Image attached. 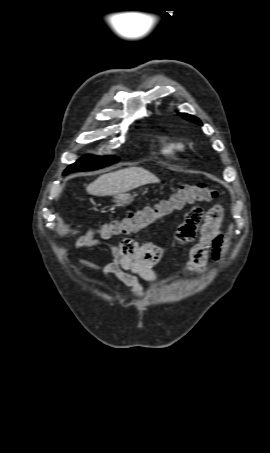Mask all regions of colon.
Masks as SVG:
<instances>
[{
  "instance_id": "colon-1",
  "label": "colon",
  "mask_w": 270,
  "mask_h": 453,
  "mask_svg": "<svg viewBox=\"0 0 270 453\" xmlns=\"http://www.w3.org/2000/svg\"><path fill=\"white\" fill-rule=\"evenodd\" d=\"M217 197L218 191L208 185H181L169 198L163 199L153 206L128 214L119 220L104 224L99 232L104 238L135 234L186 205L211 202Z\"/></svg>"
}]
</instances>
